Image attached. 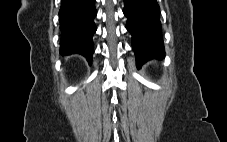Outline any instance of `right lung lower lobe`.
Wrapping results in <instances>:
<instances>
[{"label":"right lung lower lobe","mask_w":227,"mask_h":142,"mask_svg":"<svg viewBox=\"0 0 227 142\" xmlns=\"http://www.w3.org/2000/svg\"><path fill=\"white\" fill-rule=\"evenodd\" d=\"M95 0H62L59 11L61 29V54L79 53L92 61V36L97 27L94 18Z\"/></svg>","instance_id":"98d812e1"}]
</instances>
